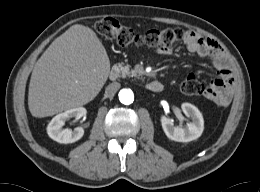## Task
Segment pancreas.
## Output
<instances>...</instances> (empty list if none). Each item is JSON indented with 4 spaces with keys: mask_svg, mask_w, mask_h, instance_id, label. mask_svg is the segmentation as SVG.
Wrapping results in <instances>:
<instances>
[{
    "mask_svg": "<svg viewBox=\"0 0 260 192\" xmlns=\"http://www.w3.org/2000/svg\"><path fill=\"white\" fill-rule=\"evenodd\" d=\"M118 67L121 70L122 77H125V76L133 77V76L138 75V73L135 70H130V65H124V63H119Z\"/></svg>",
    "mask_w": 260,
    "mask_h": 192,
    "instance_id": "cf45deb5",
    "label": "pancreas"
}]
</instances>
